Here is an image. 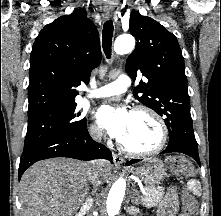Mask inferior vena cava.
Wrapping results in <instances>:
<instances>
[{"mask_svg":"<svg viewBox=\"0 0 221 216\" xmlns=\"http://www.w3.org/2000/svg\"><path fill=\"white\" fill-rule=\"evenodd\" d=\"M92 137L94 140L96 141H100L102 138V131L100 130H96L92 133ZM88 179L91 182V184L94 186L95 189H97L100 185H101V180L99 177V173L97 171H88ZM93 199L91 196H89L86 200V203L88 205H92ZM88 216H91V214H89Z\"/></svg>","mask_w":221,"mask_h":216,"instance_id":"602c4592","label":"inferior vena cava"}]
</instances>
